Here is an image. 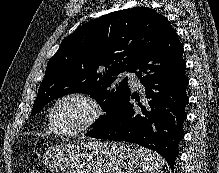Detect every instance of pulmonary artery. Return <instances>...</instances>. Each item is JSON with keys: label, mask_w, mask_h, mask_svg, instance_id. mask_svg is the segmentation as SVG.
<instances>
[{"label": "pulmonary artery", "mask_w": 219, "mask_h": 173, "mask_svg": "<svg viewBox=\"0 0 219 173\" xmlns=\"http://www.w3.org/2000/svg\"><path fill=\"white\" fill-rule=\"evenodd\" d=\"M121 77L122 78H126L128 79V81L133 85V86H138L139 83H138V79L136 77V75L130 71H124L122 72L121 74Z\"/></svg>", "instance_id": "pulmonary-artery-1"}]
</instances>
